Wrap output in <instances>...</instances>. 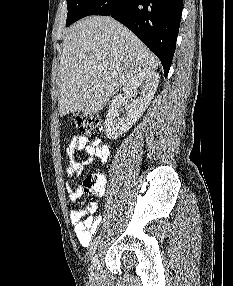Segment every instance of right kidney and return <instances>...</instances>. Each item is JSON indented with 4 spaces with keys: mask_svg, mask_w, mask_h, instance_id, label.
Instances as JSON below:
<instances>
[{
    "mask_svg": "<svg viewBox=\"0 0 233 286\" xmlns=\"http://www.w3.org/2000/svg\"><path fill=\"white\" fill-rule=\"evenodd\" d=\"M159 78L158 73L145 71L135 75L123 85V94L115 96L109 105L104 123L107 138L112 140L119 138L142 116L154 97ZM125 100L130 101L127 108V117L120 118L119 111Z\"/></svg>",
    "mask_w": 233,
    "mask_h": 286,
    "instance_id": "ca27d5eb",
    "label": "right kidney"
}]
</instances>
